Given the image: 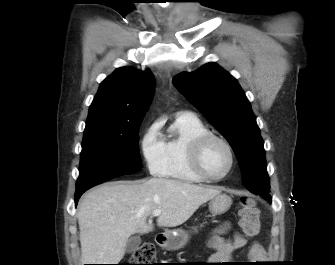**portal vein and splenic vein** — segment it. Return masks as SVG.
<instances>
[{
  "label": "portal vein and splenic vein",
  "instance_id": "obj_1",
  "mask_svg": "<svg viewBox=\"0 0 335 265\" xmlns=\"http://www.w3.org/2000/svg\"><path fill=\"white\" fill-rule=\"evenodd\" d=\"M161 214V210H155V211H153V213H152V216H159Z\"/></svg>",
  "mask_w": 335,
  "mask_h": 265
}]
</instances>
